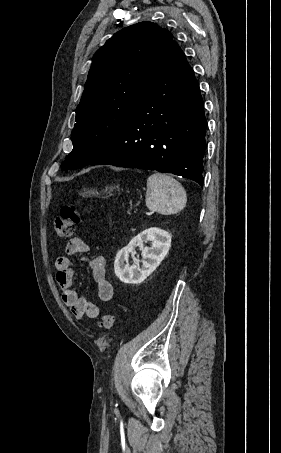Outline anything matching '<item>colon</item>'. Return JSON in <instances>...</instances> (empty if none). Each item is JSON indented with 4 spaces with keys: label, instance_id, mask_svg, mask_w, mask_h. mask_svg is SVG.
<instances>
[{
    "label": "colon",
    "instance_id": "colon-1",
    "mask_svg": "<svg viewBox=\"0 0 281 453\" xmlns=\"http://www.w3.org/2000/svg\"><path fill=\"white\" fill-rule=\"evenodd\" d=\"M83 204L82 200L77 202L64 203L61 207V214L55 218L54 232L55 235L65 240L70 238L75 229L80 225L82 216L79 212ZM115 323V314L113 311H104L100 318L99 328L103 332H110Z\"/></svg>",
    "mask_w": 281,
    "mask_h": 453
}]
</instances>
